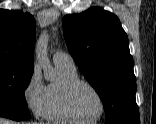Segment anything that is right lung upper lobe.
I'll use <instances>...</instances> for the list:
<instances>
[{
  "label": "right lung upper lobe",
  "instance_id": "right-lung-upper-lobe-1",
  "mask_svg": "<svg viewBox=\"0 0 156 124\" xmlns=\"http://www.w3.org/2000/svg\"><path fill=\"white\" fill-rule=\"evenodd\" d=\"M34 40L32 15L0 9V64L34 69Z\"/></svg>",
  "mask_w": 156,
  "mask_h": 124
}]
</instances>
